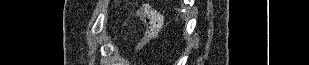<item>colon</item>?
<instances>
[{"mask_svg":"<svg viewBox=\"0 0 309 65\" xmlns=\"http://www.w3.org/2000/svg\"><path fill=\"white\" fill-rule=\"evenodd\" d=\"M134 16L145 24L144 32L134 47L135 52H139L146 44L157 37L162 25V18L146 4L137 7L134 10Z\"/></svg>","mask_w":309,"mask_h":65,"instance_id":"obj_1","label":"colon"}]
</instances>
